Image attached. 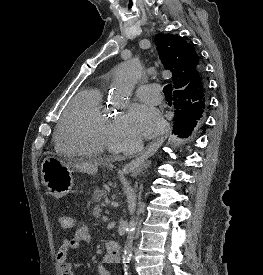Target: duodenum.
<instances>
[{
  "mask_svg": "<svg viewBox=\"0 0 263 275\" xmlns=\"http://www.w3.org/2000/svg\"><path fill=\"white\" fill-rule=\"evenodd\" d=\"M120 261V247L117 242L109 240L106 244V254L104 262L107 264H114Z\"/></svg>",
  "mask_w": 263,
  "mask_h": 275,
  "instance_id": "1",
  "label": "duodenum"
}]
</instances>
